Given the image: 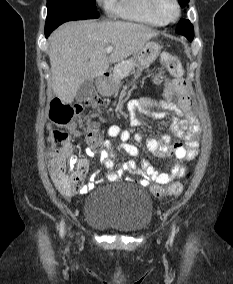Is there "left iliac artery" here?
Returning a JSON list of instances; mask_svg holds the SVG:
<instances>
[{"label": "left iliac artery", "instance_id": "1", "mask_svg": "<svg viewBox=\"0 0 233 284\" xmlns=\"http://www.w3.org/2000/svg\"><path fill=\"white\" fill-rule=\"evenodd\" d=\"M175 233V227H173V234Z\"/></svg>", "mask_w": 233, "mask_h": 284}]
</instances>
